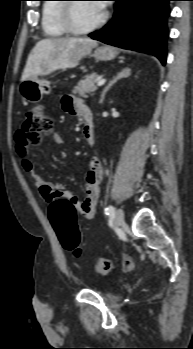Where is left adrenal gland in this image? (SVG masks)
Segmentation results:
<instances>
[{
  "label": "left adrenal gland",
  "instance_id": "left-adrenal-gland-1",
  "mask_svg": "<svg viewBox=\"0 0 193 349\" xmlns=\"http://www.w3.org/2000/svg\"><path fill=\"white\" fill-rule=\"evenodd\" d=\"M131 75V69L129 68H123L120 72L117 73V75L108 83V85L104 88V90L101 93L100 101L99 103L102 104L105 98L106 93L110 90V88L119 80L122 78H127Z\"/></svg>",
  "mask_w": 193,
  "mask_h": 349
}]
</instances>
